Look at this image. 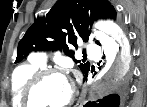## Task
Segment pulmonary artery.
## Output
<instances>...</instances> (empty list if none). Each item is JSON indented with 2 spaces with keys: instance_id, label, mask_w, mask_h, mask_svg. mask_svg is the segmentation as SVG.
<instances>
[{
  "instance_id": "obj_1",
  "label": "pulmonary artery",
  "mask_w": 147,
  "mask_h": 107,
  "mask_svg": "<svg viewBox=\"0 0 147 107\" xmlns=\"http://www.w3.org/2000/svg\"><path fill=\"white\" fill-rule=\"evenodd\" d=\"M87 53L89 56L94 57V58H99L100 56V50L98 47L93 46V45H88L86 47ZM33 60H35L36 62H39L41 64H45L46 63V58L44 55L42 54H38L35 57H33Z\"/></svg>"
}]
</instances>
